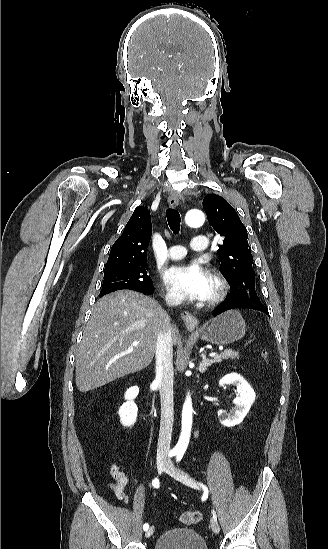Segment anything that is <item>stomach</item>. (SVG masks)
<instances>
[{"label": "stomach", "instance_id": "obj_1", "mask_svg": "<svg viewBox=\"0 0 328 549\" xmlns=\"http://www.w3.org/2000/svg\"><path fill=\"white\" fill-rule=\"evenodd\" d=\"M246 333V323L237 309H230L212 319L202 331V341L213 345H229L240 341Z\"/></svg>", "mask_w": 328, "mask_h": 549}]
</instances>
